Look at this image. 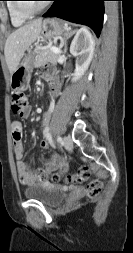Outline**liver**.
I'll return each instance as SVG.
<instances>
[{"label":"liver","instance_id":"obj_1","mask_svg":"<svg viewBox=\"0 0 133 253\" xmlns=\"http://www.w3.org/2000/svg\"><path fill=\"white\" fill-rule=\"evenodd\" d=\"M42 30V19H36L11 33L5 43V60L12 74L18 67L24 52L36 41Z\"/></svg>","mask_w":133,"mask_h":253}]
</instances>
